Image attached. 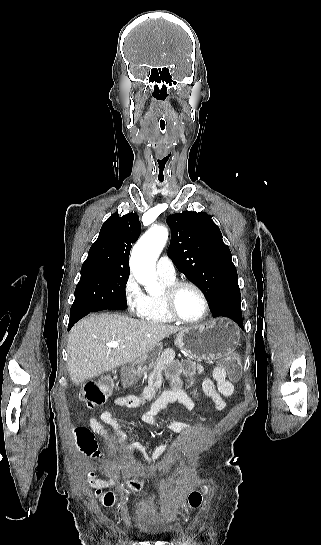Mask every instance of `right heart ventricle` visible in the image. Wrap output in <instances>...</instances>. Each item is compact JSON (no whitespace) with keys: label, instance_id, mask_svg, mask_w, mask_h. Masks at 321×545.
Returning a JSON list of instances; mask_svg holds the SVG:
<instances>
[{"label":"right heart ventricle","instance_id":"obj_1","mask_svg":"<svg viewBox=\"0 0 321 545\" xmlns=\"http://www.w3.org/2000/svg\"><path fill=\"white\" fill-rule=\"evenodd\" d=\"M161 278L164 284H172L175 282V279ZM141 319L151 324H165L172 321L165 313L160 300L153 298H148L147 306Z\"/></svg>","mask_w":321,"mask_h":545}]
</instances>
